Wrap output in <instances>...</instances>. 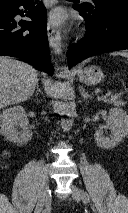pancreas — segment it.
<instances>
[{
  "label": "pancreas",
  "mask_w": 128,
  "mask_h": 213,
  "mask_svg": "<svg viewBox=\"0 0 128 213\" xmlns=\"http://www.w3.org/2000/svg\"><path fill=\"white\" fill-rule=\"evenodd\" d=\"M103 101L105 103L112 104V105L117 106V107L125 105V102L120 99V96L119 97L113 96L109 99L104 98Z\"/></svg>",
  "instance_id": "1"
}]
</instances>
